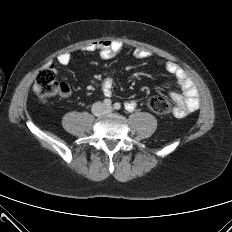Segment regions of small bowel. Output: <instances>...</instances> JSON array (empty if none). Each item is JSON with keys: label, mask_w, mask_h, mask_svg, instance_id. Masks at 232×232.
Returning a JSON list of instances; mask_svg holds the SVG:
<instances>
[{"label": "small bowel", "mask_w": 232, "mask_h": 232, "mask_svg": "<svg viewBox=\"0 0 232 232\" xmlns=\"http://www.w3.org/2000/svg\"><path fill=\"white\" fill-rule=\"evenodd\" d=\"M123 43L118 40L101 39L87 43L81 48L82 52L91 53L99 52L103 57H112L123 50ZM134 56L140 60L151 58V53L144 48L134 50ZM59 65L66 66L71 62V55L67 52L61 53L57 57ZM166 70L172 74L181 88V92H171L170 98L175 103V115L183 117L199 107V95L194 81L189 77L186 71L178 64L172 61H167L165 64ZM64 91L63 96L67 97L70 94V88L66 84H62ZM114 84L111 77H104L101 81V91L105 96H110L113 93ZM136 107L134 100H127L125 108L129 111Z\"/></svg>", "instance_id": "obj_1"}]
</instances>
